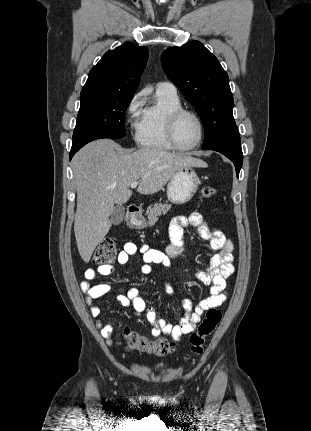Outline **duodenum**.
Masks as SVG:
<instances>
[{
    "label": "duodenum",
    "instance_id": "1",
    "mask_svg": "<svg viewBox=\"0 0 311 431\" xmlns=\"http://www.w3.org/2000/svg\"><path fill=\"white\" fill-rule=\"evenodd\" d=\"M140 214V209L139 207L135 206V205H131L128 207L127 212H126V219L128 221H134L138 218Z\"/></svg>",
    "mask_w": 311,
    "mask_h": 431
}]
</instances>
